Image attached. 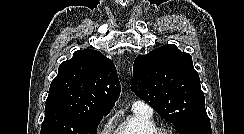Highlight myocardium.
I'll use <instances>...</instances> for the list:
<instances>
[{
	"instance_id": "obj_1",
	"label": "myocardium",
	"mask_w": 244,
	"mask_h": 134,
	"mask_svg": "<svg viewBox=\"0 0 244 134\" xmlns=\"http://www.w3.org/2000/svg\"><path fill=\"white\" fill-rule=\"evenodd\" d=\"M153 134H177V133L173 132L170 129L158 128L153 132Z\"/></svg>"
}]
</instances>
